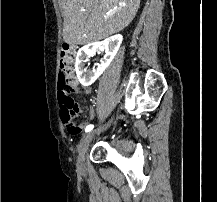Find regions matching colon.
I'll list each match as a JSON object with an SVG mask.
<instances>
[{
	"label": "colon",
	"instance_id": "obj_1",
	"mask_svg": "<svg viewBox=\"0 0 217 202\" xmlns=\"http://www.w3.org/2000/svg\"><path fill=\"white\" fill-rule=\"evenodd\" d=\"M62 55H60V69L57 71L56 77L62 82H58V91L56 102H62L60 106L59 117H65L63 125L71 134H80L82 131L81 124L75 120V113L79 111L78 105L72 97L73 91V73L75 72V60L71 59L74 54V47H61Z\"/></svg>",
	"mask_w": 217,
	"mask_h": 202
}]
</instances>
